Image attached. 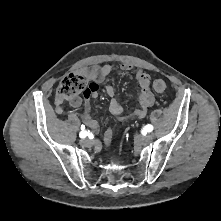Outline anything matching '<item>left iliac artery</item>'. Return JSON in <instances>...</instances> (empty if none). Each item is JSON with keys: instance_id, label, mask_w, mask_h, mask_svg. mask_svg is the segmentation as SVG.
Instances as JSON below:
<instances>
[{"instance_id": "1", "label": "left iliac artery", "mask_w": 221, "mask_h": 221, "mask_svg": "<svg viewBox=\"0 0 221 221\" xmlns=\"http://www.w3.org/2000/svg\"><path fill=\"white\" fill-rule=\"evenodd\" d=\"M154 127L151 124H148L144 127V131L146 132H152Z\"/></svg>"}]
</instances>
